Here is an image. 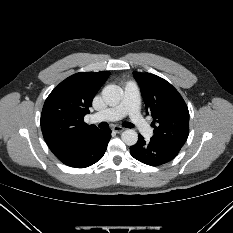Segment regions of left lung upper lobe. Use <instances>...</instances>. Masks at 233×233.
<instances>
[{
	"label": "left lung upper lobe",
	"mask_w": 233,
	"mask_h": 233,
	"mask_svg": "<svg viewBox=\"0 0 233 233\" xmlns=\"http://www.w3.org/2000/svg\"><path fill=\"white\" fill-rule=\"evenodd\" d=\"M138 82L147 114L153 117L151 138L180 150L189 134V111L179 92L166 80L149 73H133Z\"/></svg>",
	"instance_id": "1"
}]
</instances>
